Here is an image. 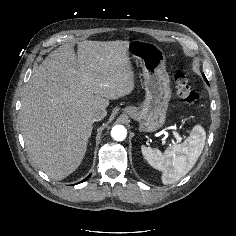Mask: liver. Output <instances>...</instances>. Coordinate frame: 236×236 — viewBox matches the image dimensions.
<instances>
[{
	"mask_svg": "<svg viewBox=\"0 0 236 236\" xmlns=\"http://www.w3.org/2000/svg\"><path fill=\"white\" fill-rule=\"evenodd\" d=\"M127 41H82L52 51L32 73L23 94L20 125L27 151L49 177L62 180L85 156L95 108L134 87Z\"/></svg>",
	"mask_w": 236,
	"mask_h": 236,
	"instance_id": "6515ba94",
	"label": "liver"
}]
</instances>
